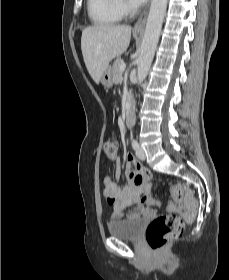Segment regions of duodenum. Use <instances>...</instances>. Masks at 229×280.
<instances>
[{
    "label": "duodenum",
    "mask_w": 229,
    "mask_h": 280,
    "mask_svg": "<svg viewBox=\"0 0 229 280\" xmlns=\"http://www.w3.org/2000/svg\"><path fill=\"white\" fill-rule=\"evenodd\" d=\"M124 122L127 127H130L133 124V109L131 100L126 102Z\"/></svg>",
    "instance_id": "410a0bca"
}]
</instances>
